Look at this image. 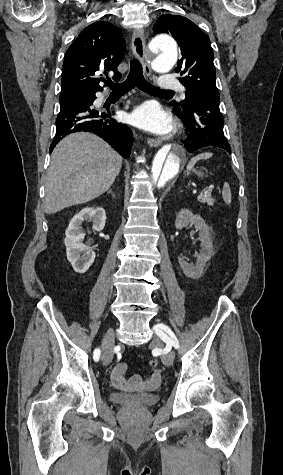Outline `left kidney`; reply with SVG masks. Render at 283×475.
I'll return each instance as SVG.
<instances>
[{"label":"left kidney","instance_id":"left-kidney-1","mask_svg":"<svg viewBox=\"0 0 283 475\" xmlns=\"http://www.w3.org/2000/svg\"><path fill=\"white\" fill-rule=\"evenodd\" d=\"M189 224H194L196 230H199L198 239L201 241L200 253L197 255L195 265L194 263L185 261L184 257H178V261L187 277L198 279V277H202L203 275L206 261L213 255V243L209 238V228L206 226L203 218H201V216H195L190 210H181L176 216L175 228L182 230V228H186Z\"/></svg>","mask_w":283,"mask_h":475}]
</instances>
